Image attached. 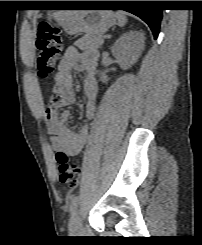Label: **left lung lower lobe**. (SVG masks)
Segmentation results:
<instances>
[{
	"label": "left lung lower lobe",
	"mask_w": 202,
	"mask_h": 245,
	"mask_svg": "<svg viewBox=\"0 0 202 245\" xmlns=\"http://www.w3.org/2000/svg\"><path fill=\"white\" fill-rule=\"evenodd\" d=\"M85 3L87 6L124 7L123 10L140 17L148 24L155 39L158 37L162 10L150 7L149 1H85Z\"/></svg>",
	"instance_id": "0a47b994"
}]
</instances>
